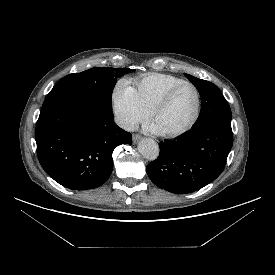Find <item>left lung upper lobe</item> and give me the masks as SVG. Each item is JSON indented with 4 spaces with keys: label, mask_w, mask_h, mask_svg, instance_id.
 I'll list each match as a JSON object with an SVG mask.
<instances>
[{
    "label": "left lung upper lobe",
    "mask_w": 275,
    "mask_h": 275,
    "mask_svg": "<svg viewBox=\"0 0 275 275\" xmlns=\"http://www.w3.org/2000/svg\"><path fill=\"white\" fill-rule=\"evenodd\" d=\"M185 75L195 85L202 98L201 112L194 127L211 122L230 121L231 109L218 87L209 81L198 79L189 74Z\"/></svg>",
    "instance_id": "obj_1"
}]
</instances>
